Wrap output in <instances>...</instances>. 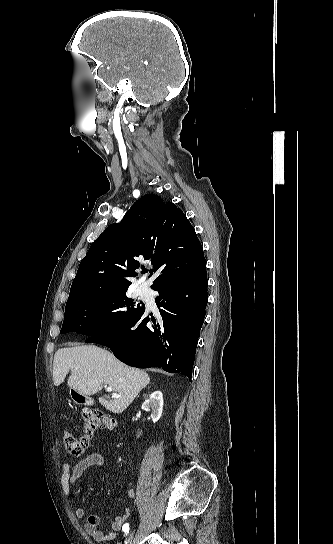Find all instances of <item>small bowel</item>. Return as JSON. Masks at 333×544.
<instances>
[{
  "label": "small bowel",
  "instance_id": "obj_1",
  "mask_svg": "<svg viewBox=\"0 0 333 544\" xmlns=\"http://www.w3.org/2000/svg\"><path fill=\"white\" fill-rule=\"evenodd\" d=\"M104 464V458L99 453H91L85 458L78 461L74 466H71L69 463H64L62 465V474H61V485L62 491L65 496H69L71 493V488L75 482L91 467H100ZM127 497L129 499L135 498L136 492L133 488H128L126 491ZM131 515V509H124L121 515H118L114 518L111 524V531L105 533L99 528L101 522V517L97 514L86 515L84 508H77L75 510V517L77 519H84V529L97 541H108L112 540L116 536V532L123 528V525L128 520Z\"/></svg>",
  "mask_w": 333,
  "mask_h": 544
}]
</instances>
